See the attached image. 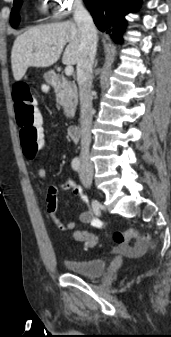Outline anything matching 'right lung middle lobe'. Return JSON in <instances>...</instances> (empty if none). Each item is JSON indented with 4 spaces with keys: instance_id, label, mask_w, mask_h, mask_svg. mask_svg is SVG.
Wrapping results in <instances>:
<instances>
[{
    "instance_id": "right-lung-middle-lobe-1",
    "label": "right lung middle lobe",
    "mask_w": 171,
    "mask_h": 337,
    "mask_svg": "<svg viewBox=\"0 0 171 337\" xmlns=\"http://www.w3.org/2000/svg\"><path fill=\"white\" fill-rule=\"evenodd\" d=\"M22 5V0H14L13 8L10 15V23L15 28L19 24L18 10Z\"/></svg>"
}]
</instances>
